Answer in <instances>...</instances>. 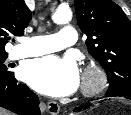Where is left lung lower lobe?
Segmentation results:
<instances>
[{"label": "left lung lower lobe", "instance_id": "1", "mask_svg": "<svg viewBox=\"0 0 131 115\" xmlns=\"http://www.w3.org/2000/svg\"><path fill=\"white\" fill-rule=\"evenodd\" d=\"M106 97H123V98H127V99H130V100H131V96H108V95L106 94ZM90 106H92L91 103L82 104L81 106L76 107V108L74 109V112H79V111L86 110V109L90 108Z\"/></svg>", "mask_w": 131, "mask_h": 115}]
</instances>
